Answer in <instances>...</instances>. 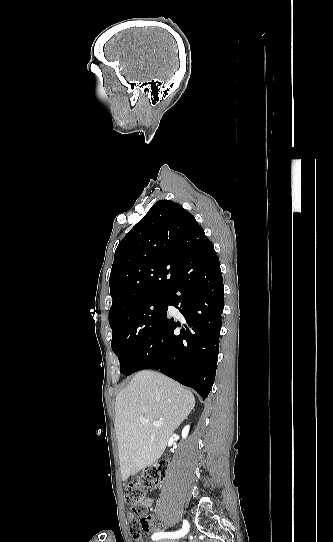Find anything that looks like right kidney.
<instances>
[{"instance_id":"ca27d5eb","label":"right kidney","mask_w":333,"mask_h":542,"mask_svg":"<svg viewBox=\"0 0 333 542\" xmlns=\"http://www.w3.org/2000/svg\"><path fill=\"white\" fill-rule=\"evenodd\" d=\"M189 432V426H185L182 430V438H187Z\"/></svg>"}]
</instances>
